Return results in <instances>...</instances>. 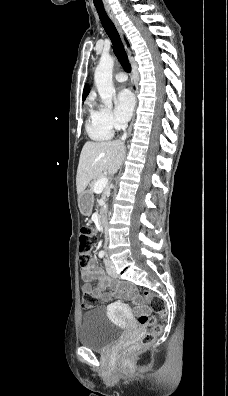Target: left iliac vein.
<instances>
[{
    "label": "left iliac vein",
    "mask_w": 228,
    "mask_h": 396,
    "mask_svg": "<svg viewBox=\"0 0 228 396\" xmlns=\"http://www.w3.org/2000/svg\"><path fill=\"white\" fill-rule=\"evenodd\" d=\"M107 272L112 277H116L117 276L116 269H115L113 263L111 261H109V260L107 261Z\"/></svg>",
    "instance_id": "1"
}]
</instances>
